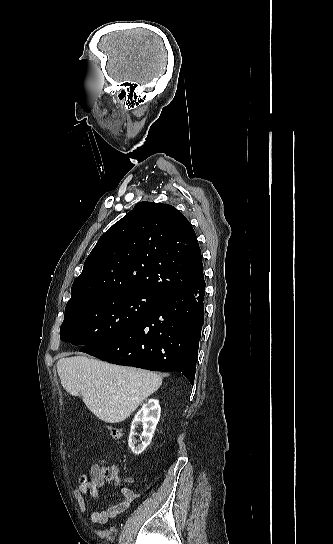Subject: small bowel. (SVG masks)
<instances>
[{
  "label": "small bowel",
  "mask_w": 333,
  "mask_h": 544,
  "mask_svg": "<svg viewBox=\"0 0 333 544\" xmlns=\"http://www.w3.org/2000/svg\"><path fill=\"white\" fill-rule=\"evenodd\" d=\"M101 466L94 463L90 467L91 482H85L80 484L77 488L73 489V496L76 499L81 512H86L87 505L85 501L86 495L90 494L94 499H99V489L103 486L104 480L101 478ZM113 482L124 500L107 508H103L101 505L90 514V520L94 524H105L110 519H114L120 514L128 510L131 503L135 501L139 495L133 491L130 487L124 484L123 479L119 476L118 469L113 468Z\"/></svg>",
  "instance_id": "c3829d8e"
}]
</instances>
